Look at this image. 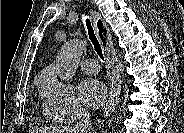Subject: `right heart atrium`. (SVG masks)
<instances>
[{
	"instance_id": "d8ad5b80",
	"label": "right heart atrium",
	"mask_w": 184,
	"mask_h": 133,
	"mask_svg": "<svg viewBox=\"0 0 184 133\" xmlns=\"http://www.w3.org/2000/svg\"><path fill=\"white\" fill-rule=\"evenodd\" d=\"M41 94L44 112L53 121H72L84 113V108L78 102L72 87L59 81L53 74L44 78L41 84Z\"/></svg>"
}]
</instances>
